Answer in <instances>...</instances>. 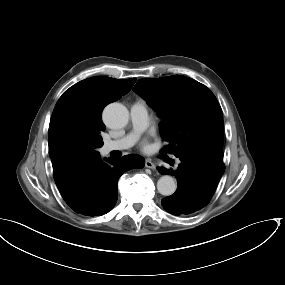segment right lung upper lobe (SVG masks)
<instances>
[{"mask_svg":"<svg viewBox=\"0 0 285 285\" xmlns=\"http://www.w3.org/2000/svg\"><path fill=\"white\" fill-rule=\"evenodd\" d=\"M136 80V78L118 80L103 76L82 80L62 94L54 111L65 107H77L84 109L91 115L101 117L104 107L127 94ZM49 155L52 160L56 184L61 183L73 171L82 167V165H75L68 162L50 146Z\"/></svg>","mask_w":285,"mask_h":285,"instance_id":"cb5924a9","label":"right lung upper lobe"}]
</instances>
